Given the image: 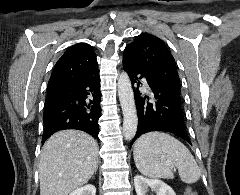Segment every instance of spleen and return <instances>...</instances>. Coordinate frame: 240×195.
Wrapping results in <instances>:
<instances>
[{
    "instance_id": "spleen-1",
    "label": "spleen",
    "mask_w": 240,
    "mask_h": 195,
    "mask_svg": "<svg viewBox=\"0 0 240 195\" xmlns=\"http://www.w3.org/2000/svg\"><path fill=\"white\" fill-rule=\"evenodd\" d=\"M135 165L147 177L171 175V167H178L180 179L185 183L198 181L201 171L188 147L169 133L148 131L134 143Z\"/></svg>"
}]
</instances>
